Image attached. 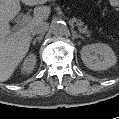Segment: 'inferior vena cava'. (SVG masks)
Masks as SVG:
<instances>
[{
  "label": "inferior vena cava",
  "instance_id": "1",
  "mask_svg": "<svg viewBox=\"0 0 119 119\" xmlns=\"http://www.w3.org/2000/svg\"><path fill=\"white\" fill-rule=\"evenodd\" d=\"M49 28V24L47 22H41L33 27L31 33L33 35L36 34H44Z\"/></svg>",
  "mask_w": 119,
  "mask_h": 119
}]
</instances>
